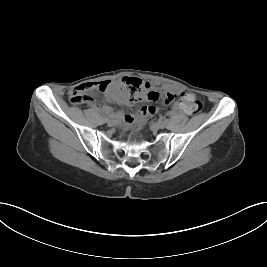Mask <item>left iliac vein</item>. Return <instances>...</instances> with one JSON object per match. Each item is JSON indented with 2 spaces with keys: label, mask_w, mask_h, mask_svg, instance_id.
Listing matches in <instances>:
<instances>
[{
  "label": "left iliac vein",
  "mask_w": 267,
  "mask_h": 267,
  "mask_svg": "<svg viewBox=\"0 0 267 267\" xmlns=\"http://www.w3.org/2000/svg\"><path fill=\"white\" fill-rule=\"evenodd\" d=\"M155 127L158 129H163L165 127V123L162 121H158L155 123Z\"/></svg>",
  "instance_id": "4c4485c4"
}]
</instances>
